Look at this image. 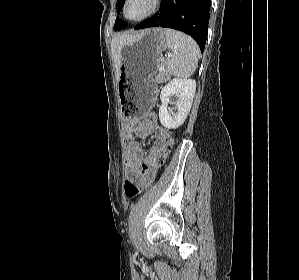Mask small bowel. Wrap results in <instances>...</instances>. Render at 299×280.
Instances as JSON below:
<instances>
[{
    "label": "small bowel",
    "instance_id": "obj_1",
    "mask_svg": "<svg viewBox=\"0 0 299 280\" xmlns=\"http://www.w3.org/2000/svg\"><path fill=\"white\" fill-rule=\"evenodd\" d=\"M129 133L139 137H145L148 134H155L156 138L151 146L150 152L144 158V152L141 144L130 137L128 149L129 158L125 165V174L128 180L141 181L140 165L155 160L161 153L162 147L171 138L167 129L161 126L157 120L154 121H130Z\"/></svg>",
    "mask_w": 299,
    "mask_h": 280
}]
</instances>
